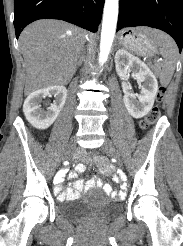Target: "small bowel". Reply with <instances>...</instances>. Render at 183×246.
Instances as JSON below:
<instances>
[{
	"label": "small bowel",
	"mask_w": 183,
	"mask_h": 246,
	"mask_svg": "<svg viewBox=\"0 0 183 246\" xmlns=\"http://www.w3.org/2000/svg\"><path fill=\"white\" fill-rule=\"evenodd\" d=\"M84 165L82 163L76 166L77 171H82ZM103 172H108L107 168L102 169ZM58 174H55V179L52 184L56 185L54 188V194L60 200H73L78 198L84 191L89 190L93 187L103 188L105 192L109 193V198H128V193H121L118 191H125V187H132V182H129V178H118V182L104 183L100 178H92L85 184L82 180L77 179L74 181L73 187H69L65 190L62 189L61 185H64V174H68V169H58ZM113 174H122V169H113ZM68 177L70 179L76 178L75 172H70ZM114 180H117L116 175H112Z\"/></svg>",
	"instance_id": "small-bowel-1"
}]
</instances>
